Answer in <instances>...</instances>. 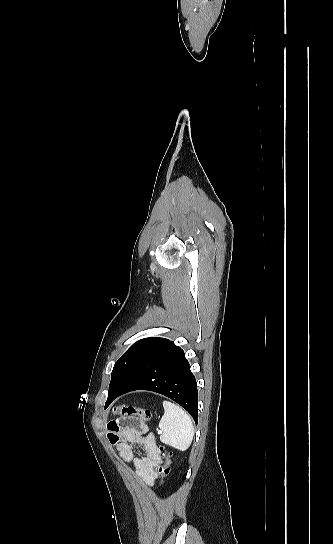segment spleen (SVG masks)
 <instances>
[{"mask_svg":"<svg viewBox=\"0 0 333 544\" xmlns=\"http://www.w3.org/2000/svg\"><path fill=\"white\" fill-rule=\"evenodd\" d=\"M163 407L164 415L159 423L163 431L161 442L179 450L187 449L194 435L191 417L181 407L167 400L163 401Z\"/></svg>","mask_w":333,"mask_h":544,"instance_id":"obj_1","label":"spleen"}]
</instances>
